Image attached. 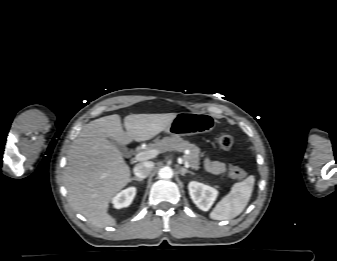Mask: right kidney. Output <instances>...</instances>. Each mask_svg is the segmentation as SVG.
<instances>
[{
  "label": "right kidney",
  "mask_w": 337,
  "mask_h": 261,
  "mask_svg": "<svg viewBox=\"0 0 337 261\" xmlns=\"http://www.w3.org/2000/svg\"><path fill=\"white\" fill-rule=\"evenodd\" d=\"M135 195H136L135 187H129L121 191L113 198L114 207L117 209L128 207L132 203Z\"/></svg>",
  "instance_id": "obj_1"
}]
</instances>
